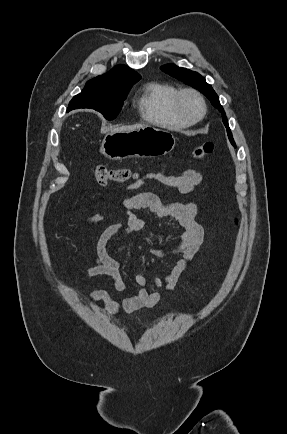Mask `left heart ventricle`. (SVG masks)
<instances>
[{"mask_svg": "<svg viewBox=\"0 0 287 434\" xmlns=\"http://www.w3.org/2000/svg\"><path fill=\"white\" fill-rule=\"evenodd\" d=\"M183 108L190 116H197L200 113L199 102L192 96H186L184 98Z\"/></svg>", "mask_w": 287, "mask_h": 434, "instance_id": "left-heart-ventricle-1", "label": "left heart ventricle"}]
</instances>
